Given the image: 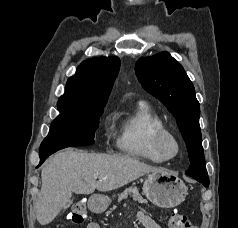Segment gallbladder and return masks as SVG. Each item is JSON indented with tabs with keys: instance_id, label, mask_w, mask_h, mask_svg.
Segmentation results:
<instances>
[{
	"instance_id": "bac80fb5",
	"label": "gallbladder",
	"mask_w": 238,
	"mask_h": 228,
	"mask_svg": "<svg viewBox=\"0 0 238 228\" xmlns=\"http://www.w3.org/2000/svg\"><path fill=\"white\" fill-rule=\"evenodd\" d=\"M69 205H70V204H66V205L64 206V209H66L67 207H69Z\"/></svg>"
}]
</instances>
